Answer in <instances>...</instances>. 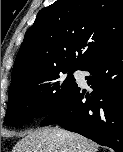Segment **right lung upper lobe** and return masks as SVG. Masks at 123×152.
<instances>
[{
	"mask_svg": "<svg viewBox=\"0 0 123 152\" xmlns=\"http://www.w3.org/2000/svg\"><path fill=\"white\" fill-rule=\"evenodd\" d=\"M121 41L123 0H57L41 9L27 30L9 92L45 72L82 70L99 53Z\"/></svg>",
	"mask_w": 123,
	"mask_h": 152,
	"instance_id": "obj_1",
	"label": "right lung upper lobe"
}]
</instances>
